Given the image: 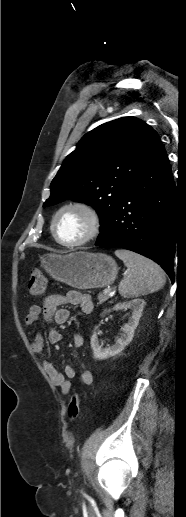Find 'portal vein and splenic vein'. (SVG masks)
I'll use <instances>...</instances> for the list:
<instances>
[{"mask_svg": "<svg viewBox=\"0 0 186 517\" xmlns=\"http://www.w3.org/2000/svg\"><path fill=\"white\" fill-rule=\"evenodd\" d=\"M104 293L111 294V289L110 288L105 289Z\"/></svg>", "mask_w": 186, "mask_h": 517, "instance_id": "obj_1", "label": "portal vein and splenic vein"}]
</instances>
